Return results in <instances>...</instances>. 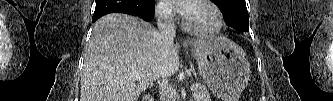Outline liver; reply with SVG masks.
<instances>
[{
  "instance_id": "6515ba94",
  "label": "liver",
  "mask_w": 333,
  "mask_h": 101,
  "mask_svg": "<svg viewBox=\"0 0 333 101\" xmlns=\"http://www.w3.org/2000/svg\"><path fill=\"white\" fill-rule=\"evenodd\" d=\"M193 44L201 55L204 40ZM178 51L173 44L164 52L159 32L137 17L120 13L101 17L88 43L80 101H137L154 81L178 71Z\"/></svg>"
}]
</instances>
